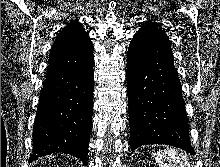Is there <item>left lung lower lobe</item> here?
Listing matches in <instances>:
<instances>
[{
  "instance_id": "1",
  "label": "left lung lower lobe",
  "mask_w": 220,
  "mask_h": 167,
  "mask_svg": "<svg viewBox=\"0 0 220 167\" xmlns=\"http://www.w3.org/2000/svg\"><path fill=\"white\" fill-rule=\"evenodd\" d=\"M127 92L131 150L145 144H167L194 154L173 59L129 49Z\"/></svg>"
}]
</instances>
